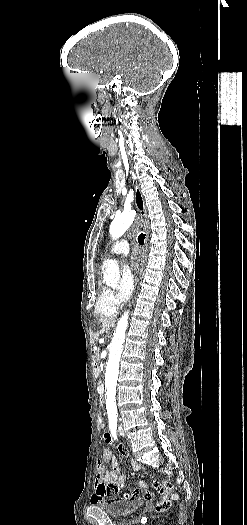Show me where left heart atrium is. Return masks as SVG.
<instances>
[{"label":"left heart atrium","instance_id":"left-heart-atrium-1","mask_svg":"<svg viewBox=\"0 0 247 525\" xmlns=\"http://www.w3.org/2000/svg\"><path fill=\"white\" fill-rule=\"evenodd\" d=\"M146 264V255L143 252L135 250L131 253L129 263L122 269V298L126 299L131 294L135 285V277L143 273Z\"/></svg>","mask_w":247,"mask_h":525}]
</instances>
